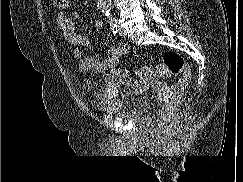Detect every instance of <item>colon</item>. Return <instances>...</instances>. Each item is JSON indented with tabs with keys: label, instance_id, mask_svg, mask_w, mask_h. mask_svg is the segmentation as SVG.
Instances as JSON below:
<instances>
[{
	"label": "colon",
	"instance_id": "1",
	"mask_svg": "<svg viewBox=\"0 0 243 182\" xmlns=\"http://www.w3.org/2000/svg\"><path fill=\"white\" fill-rule=\"evenodd\" d=\"M54 5L60 9L71 6L72 0H53ZM140 79L148 81L169 76H180V79L167 90L162 91L159 96V114L165 115L173 101L179 97L190 81V74L186 68L183 57L175 51H167L163 55L162 62L155 66L141 67L137 71Z\"/></svg>",
	"mask_w": 243,
	"mask_h": 182
}]
</instances>
